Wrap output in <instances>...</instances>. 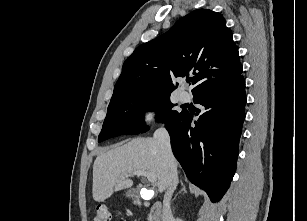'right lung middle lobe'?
Returning <instances> with one entry per match:
<instances>
[{
  "mask_svg": "<svg viewBox=\"0 0 307 221\" xmlns=\"http://www.w3.org/2000/svg\"><path fill=\"white\" fill-rule=\"evenodd\" d=\"M169 97L168 93L135 94L109 104L98 142L122 134L146 132L148 127L140 121L148 111L158 109L156 119L165 124L177 119L184 111H173L174 104L170 102Z\"/></svg>",
  "mask_w": 307,
  "mask_h": 221,
  "instance_id": "1",
  "label": "right lung middle lobe"
}]
</instances>
